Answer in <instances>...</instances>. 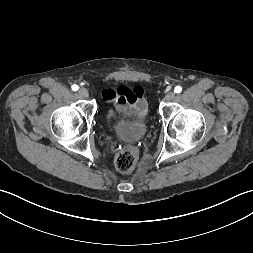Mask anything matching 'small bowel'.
<instances>
[{
  "mask_svg": "<svg viewBox=\"0 0 253 253\" xmlns=\"http://www.w3.org/2000/svg\"><path fill=\"white\" fill-rule=\"evenodd\" d=\"M102 97L106 101L114 102L118 114L142 117L146 111L147 104L144 98V89L140 86L133 88L120 86L117 89H104ZM113 116V112L108 114L109 118Z\"/></svg>",
  "mask_w": 253,
  "mask_h": 253,
  "instance_id": "c3829d8e",
  "label": "small bowel"
}]
</instances>
